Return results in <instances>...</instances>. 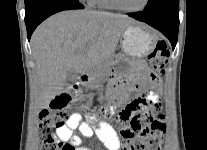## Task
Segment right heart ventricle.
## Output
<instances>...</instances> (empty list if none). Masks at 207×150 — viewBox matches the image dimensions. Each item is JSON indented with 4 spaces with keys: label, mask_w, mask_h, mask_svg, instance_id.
<instances>
[{
    "label": "right heart ventricle",
    "mask_w": 207,
    "mask_h": 150,
    "mask_svg": "<svg viewBox=\"0 0 207 150\" xmlns=\"http://www.w3.org/2000/svg\"><path fill=\"white\" fill-rule=\"evenodd\" d=\"M90 5L105 10H114L115 6L112 4L111 0H91Z\"/></svg>",
    "instance_id": "right-heart-ventricle-1"
}]
</instances>
